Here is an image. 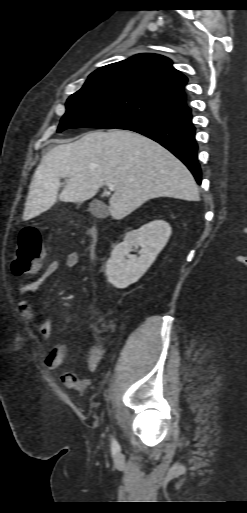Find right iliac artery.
<instances>
[{"label": "right iliac artery", "instance_id": "82829eb1", "mask_svg": "<svg viewBox=\"0 0 247 513\" xmlns=\"http://www.w3.org/2000/svg\"><path fill=\"white\" fill-rule=\"evenodd\" d=\"M111 449H112L113 453H116L117 451H119V444L115 439H112Z\"/></svg>", "mask_w": 247, "mask_h": 513}]
</instances>
